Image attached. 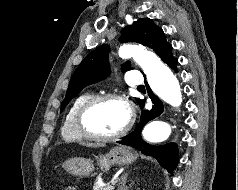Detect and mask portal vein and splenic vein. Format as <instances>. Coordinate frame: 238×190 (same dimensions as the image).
Masks as SVG:
<instances>
[{
	"instance_id": "obj_1",
	"label": "portal vein and splenic vein",
	"mask_w": 238,
	"mask_h": 190,
	"mask_svg": "<svg viewBox=\"0 0 238 190\" xmlns=\"http://www.w3.org/2000/svg\"><path fill=\"white\" fill-rule=\"evenodd\" d=\"M116 183H117V181H113L111 184H112V185H115Z\"/></svg>"
}]
</instances>
